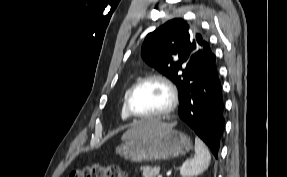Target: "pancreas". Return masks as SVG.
<instances>
[{"instance_id": "1", "label": "pancreas", "mask_w": 287, "mask_h": 177, "mask_svg": "<svg viewBox=\"0 0 287 177\" xmlns=\"http://www.w3.org/2000/svg\"><path fill=\"white\" fill-rule=\"evenodd\" d=\"M160 167H142V175L143 177H157L159 174Z\"/></svg>"}]
</instances>
